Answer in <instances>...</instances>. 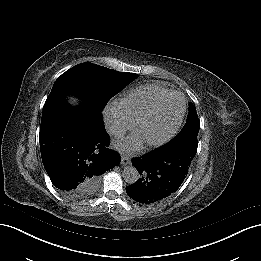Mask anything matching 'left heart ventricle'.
I'll return each instance as SVG.
<instances>
[{"mask_svg": "<svg viewBox=\"0 0 261 261\" xmlns=\"http://www.w3.org/2000/svg\"><path fill=\"white\" fill-rule=\"evenodd\" d=\"M181 109V101L177 99L165 110L144 117L138 126V136L144 139H156L163 136L176 124Z\"/></svg>", "mask_w": 261, "mask_h": 261, "instance_id": "1", "label": "left heart ventricle"}]
</instances>
